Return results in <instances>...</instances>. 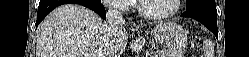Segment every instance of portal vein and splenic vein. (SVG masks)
Returning a JSON list of instances; mask_svg holds the SVG:
<instances>
[{
    "label": "portal vein and splenic vein",
    "mask_w": 249,
    "mask_h": 57,
    "mask_svg": "<svg viewBox=\"0 0 249 57\" xmlns=\"http://www.w3.org/2000/svg\"><path fill=\"white\" fill-rule=\"evenodd\" d=\"M85 56L86 57H97V55H88V54H86Z\"/></svg>",
    "instance_id": "obj_1"
}]
</instances>
